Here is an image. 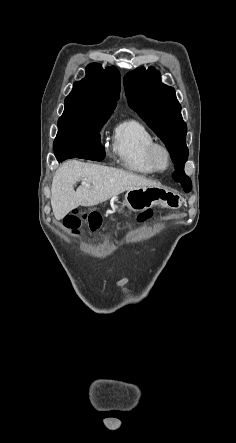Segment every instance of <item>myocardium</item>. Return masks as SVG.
<instances>
[{
    "mask_svg": "<svg viewBox=\"0 0 236 443\" xmlns=\"http://www.w3.org/2000/svg\"><path fill=\"white\" fill-rule=\"evenodd\" d=\"M160 152L164 153L166 158V165L164 167H161L159 164L158 154ZM148 160L155 171L164 172L171 166L172 156L170 149L163 143L154 142L148 148Z\"/></svg>",
    "mask_w": 236,
    "mask_h": 443,
    "instance_id": "obj_1",
    "label": "myocardium"
}]
</instances>
